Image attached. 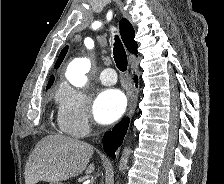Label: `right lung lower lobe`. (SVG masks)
<instances>
[{
  "label": "right lung lower lobe",
  "mask_w": 224,
  "mask_h": 184,
  "mask_svg": "<svg viewBox=\"0 0 224 184\" xmlns=\"http://www.w3.org/2000/svg\"><path fill=\"white\" fill-rule=\"evenodd\" d=\"M135 82H138L135 76ZM129 126V118H125L120 123H118L111 132H106L103 137L104 151L111 158H115V151L119 146H121L125 134Z\"/></svg>",
  "instance_id": "right-lung-lower-lobe-1"
}]
</instances>
